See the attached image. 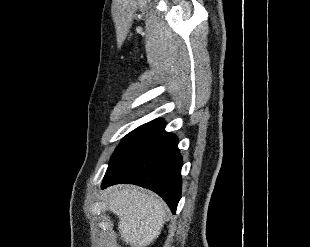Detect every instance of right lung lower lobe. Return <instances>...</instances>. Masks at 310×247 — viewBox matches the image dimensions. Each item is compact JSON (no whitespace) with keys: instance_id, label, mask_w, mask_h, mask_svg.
Wrapping results in <instances>:
<instances>
[{"instance_id":"right-lung-lower-lobe-1","label":"right lung lower lobe","mask_w":310,"mask_h":247,"mask_svg":"<svg viewBox=\"0 0 310 247\" xmlns=\"http://www.w3.org/2000/svg\"><path fill=\"white\" fill-rule=\"evenodd\" d=\"M178 139L155 119L140 129L110 162L102 188L117 183L136 184L156 192L176 212L181 198L182 157Z\"/></svg>"}]
</instances>
